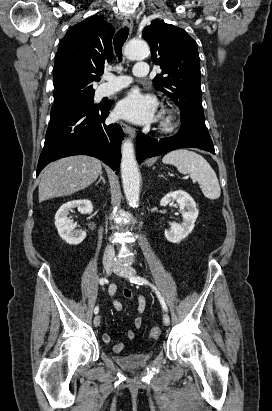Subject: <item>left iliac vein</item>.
I'll use <instances>...</instances> for the list:
<instances>
[{"mask_svg": "<svg viewBox=\"0 0 272 411\" xmlns=\"http://www.w3.org/2000/svg\"><path fill=\"white\" fill-rule=\"evenodd\" d=\"M114 273L117 275L129 278L130 276H134L136 274L135 269L130 266H120L117 263H114L113 267ZM163 323L168 326L170 324V317L167 313L163 314Z\"/></svg>", "mask_w": 272, "mask_h": 411, "instance_id": "left-iliac-vein-1", "label": "left iliac vein"}]
</instances>
